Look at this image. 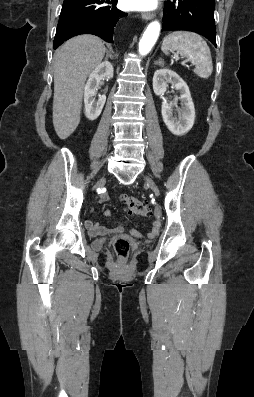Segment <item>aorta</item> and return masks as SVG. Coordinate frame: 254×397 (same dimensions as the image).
<instances>
[{"label":"aorta","mask_w":254,"mask_h":397,"mask_svg":"<svg viewBox=\"0 0 254 397\" xmlns=\"http://www.w3.org/2000/svg\"><path fill=\"white\" fill-rule=\"evenodd\" d=\"M160 33V23L158 21L151 22L145 30L139 42V53L146 55L150 52Z\"/></svg>","instance_id":"obj_1"}]
</instances>
